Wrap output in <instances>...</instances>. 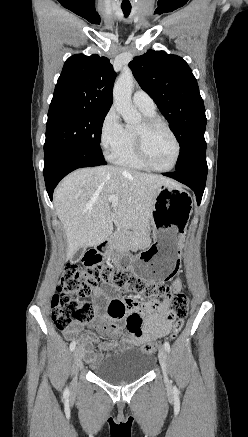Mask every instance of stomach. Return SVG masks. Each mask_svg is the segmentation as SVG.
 Returning a JSON list of instances; mask_svg holds the SVG:
<instances>
[{
  "instance_id": "obj_1",
  "label": "stomach",
  "mask_w": 248,
  "mask_h": 437,
  "mask_svg": "<svg viewBox=\"0 0 248 437\" xmlns=\"http://www.w3.org/2000/svg\"><path fill=\"white\" fill-rule=\"evenodd\" d=\"M191 214V198L178 185H162L155 197L151 212L153 243L140 250L136 258L120 251L116 259V272L135 273L144 279V286H167L179 270L181 251Z\"/></svg>"
}]
</instances>
